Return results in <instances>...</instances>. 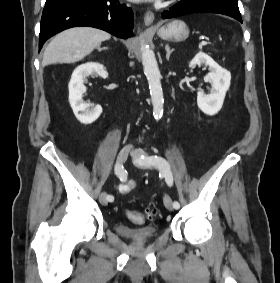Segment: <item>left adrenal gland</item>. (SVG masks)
Returning <instances> with one entry per match:
<instances>
[{"label": "left adrenal gland", "mask_w": 280, "mask_h": 283, "mask_svg": "<svg viewBox=\"0 0 280 283\" xmlns=\"http://www.w3.org/2000/svg\"><path fill=\"white\" fill-rule=\"evenodd\" d=\"M165 50H166V59L169 60V57L171 53L174 51V49H170L169 45H166Z\"/></svg>", "instance_id": "obj_1"}]
</instances>
